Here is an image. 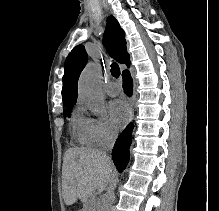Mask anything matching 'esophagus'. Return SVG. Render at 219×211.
Wrapping results in <instances>:
<instances>
[{"label":"esophagus","mask_w":219,"mask_h":211,"mask_svg":"<svg viewBox=\"0 0 219 211\" xmlns=\"http://www.w3.org/2000/svg\"><path fill=\"white\" fill-rule=\"evenodd\" d=\"M129 118H130V121L133 120L134 118V108H133V103L131 99H129Z\"/></svg>","instance_id":"esophagus-1"}]
</instances>
